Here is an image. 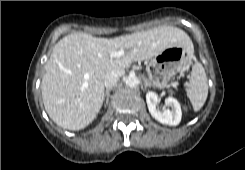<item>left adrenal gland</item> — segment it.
I'll list each match as a JSON object with an SVG mask.
<instances>
[{
    "label": "left adrenal gland",
    "mask_w": 245,
    "mask_h": 170,
    "mask_svg": "<svg viewBox=\"0 0 245 170\" xmlns=\"http://www.w3.org/2000/svg\"><path fill=\"white\" fill-rule=\"evenodd\" d=\"M143 81H144L145 90H146L148 87H151V84L147 81V79H146L145 77L143 78Z\"/></svg>",
    "instance_id": "left-adrenal-gland-1"
}]
</instances>
